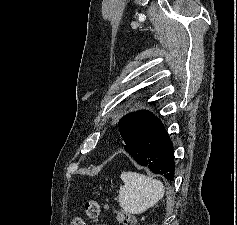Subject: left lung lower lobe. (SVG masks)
I'll use <instances>...</instances> for the list:
<instances>
[{
  "mask_svg": "<svg viewBox=\"0 0 237 225\" xmlns=\"http://www.w3.org/2000/svg\"><path fill=\"white\" fill-rule=\"evenodd\" d=\"M118 125L125 151L138 164L173 181L174 150L162 122L144 110L124 116Z\"/></svg>",
  "mask_w": 237,
  "mask_h": 225,
  "instance_id": "left-lung-lower-lobe-1",
  "label": "left lung lower lobe"
}]
</instances>
